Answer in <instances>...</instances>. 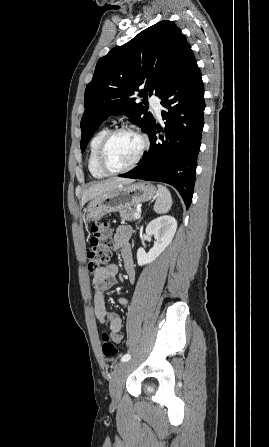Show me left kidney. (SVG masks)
Segmentation results:
<instances>
[{
	"label": "left kidney",
	"instance_id": "left-kidney-1",
	"mask_svg": "<svg viewBox=\"0 0 269 447\" xmlns=\"http://www.w3.org/2000/svg\"><path fill=\"white\" fill-rule=\"evenodd\" d=\"M176 229L177 222L172 216H161V218L152 220L146 227V233L147 235H154V245L149 249L148 253H146L144 247H138V265H145V263L154 261L164 251L165 247L171 243Z\"/></svg>",
	"mask_w": 269,
	"mask_h": 447
}]
</instances>
